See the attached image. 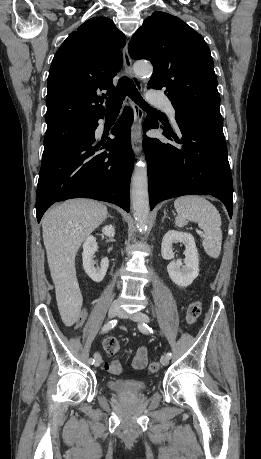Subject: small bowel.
<instances>
[{"label": "small bowel", "instance_id": "obj_1", "mask_svg": "<svg viewBox=\"0 0 261 459\" xmlns=\"http://www.w3.org/2000/svg\"><path fill=\"white\" fill-rule=\"evenodd\" d=\"M87 309L84 308L80 313V321L84 320L87 316ZM148 357H147V349L145 347H140L132 361L133 368L137 370L144 369L147 365Z\"/></svg>", "mask_w": 261, "mask_h": 459}]
</instances>
